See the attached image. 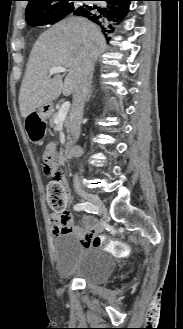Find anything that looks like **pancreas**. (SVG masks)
<instances>
[{"mask_svg":"<svg viewBox=\"0 0 183 329\" xmlns=\"http://www.w3.org/2000/svg\"><path fill=\"white\" fill-rule=\"evenodd\" d=\"M57 115H58V112H55V113L52 114V116H51V118L49 120L50 126H53L54 125V120L57 117ZM64 125H65V127L67 129V132H69L70 131V123H69V119L68 118L65 120Z\"/></svg>","mask_w":183,"mask_h":329,"instance_id":"obj_1","label":"pancreas"}]
</instances>
